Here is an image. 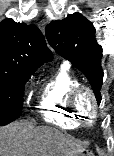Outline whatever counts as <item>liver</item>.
Masks as SVG:
<instances>
[{
    "label": "liver",
    "instance_id": "obj_1",
    "mask_svg": "<svg viewBox=\"0 0 114 156\" xmlns=\"http://www.w3.org/2000/svg\"><path fill=\"white\" fill-rule=\"evenodd\" d=\"M86 145L50 126L16 121L0 127V156H74Z\"/></svg>",
    "mask_w": 114,
    "mask_h": 156
}]
</instances>
